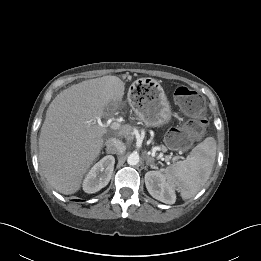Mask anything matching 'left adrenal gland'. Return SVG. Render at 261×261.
Here are the masks:
<instances>
[{"mask_svg":"<svg viewBox=\"0 0 261 261\" xmlns=\"http://www.w3.org/2000/svg\"><path fill=\"white\" fill-rule=\"evenodd\" d=\"M146 165L150 166L151 168H156L155 164H154V160L149 157L148 155L146 156Z\"/></svg>","mask_w":261,"mask_h":261,"instance_id":"obj_1","label":"left adrenal gland"}]
</instances>
